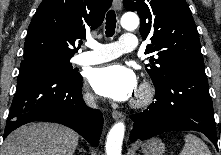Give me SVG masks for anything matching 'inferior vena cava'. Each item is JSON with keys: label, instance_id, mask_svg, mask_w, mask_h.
I'll return each mask as SVG.
<instances>
[{"label": "inferior vena cava", "instance_id": "602c4592", "mask_svg": "<svg viewBox=\"0 0 221 155\" xmlns=\"http://www.w3.org/2000/svg\"><path fill=\"white\" fill-rule=\"evenodd\" d=\"M85 101L87 102L88 105L92 107H96L94 97L90 94H86L84 97Z\"/></svg>", "mask_w": 221, "mask_h": 155}]
</instances>
